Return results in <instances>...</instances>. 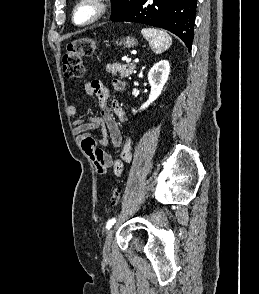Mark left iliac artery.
Listing matches in <instances>:
<instances>
[{
    "mask_svg": "<svg viewBox=\"0 0 259 294\" xmlns=\"http://www.w3.org/2000/svg\"><path fill=\"white\" fill-rule=\"evenodd\" d=\"M115 222H116V218L110 219L106 224V229L109 230L114 225Z\"/></svg>",
    "mask_w": 259,
    "mask_h": 294,
    "instance_id": "left-iliac-artery-1",
    "label": "left iliac artery"
}]
</instances>
